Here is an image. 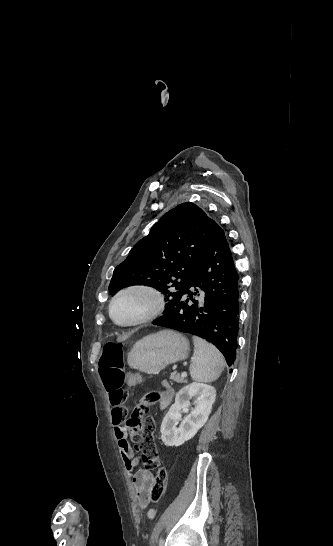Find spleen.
Wrapping results in <instances>:
<instances>
[{
    "label": "spleen",
    "mask_w": 333,
    "mask_h": 546,
    "mask_svg": "<svg viewBox=\"0 0 333 546\" xmlns=\"http://www.w3.org/2000/svg\"><path fill=\"white\" fill-rule=\"evenodd\" d=\"M194 355L190 375L196 382L210 383L217 380L224 370L225 360L219 350L207 341L193 336Z\"/></svg>",
    "instance_id": "3e777b00"
}]
</instances>
